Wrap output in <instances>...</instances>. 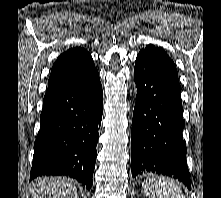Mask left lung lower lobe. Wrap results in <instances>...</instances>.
Wrapping results in <instances>:
<instances>
[{
	"label": "left lung lower lobe",
	"instance_id": "obj_1",
	"mask_svg": "<svg viewBox=\"0 0 221 198\" xmlns=\"http://www.w3.org/2000/svg\"><path fill=\"white\" fill-rule=\"evenodd\" d=\"M134 78L138 92L131 131L133 177L145 172L169 175L191 188L178 77L139 53Z\"/></svg>",
	"mask_w": 221,
	"mask_h": 198
}]
</instances>
